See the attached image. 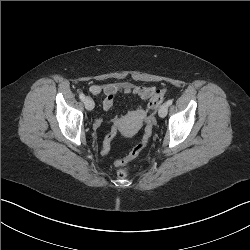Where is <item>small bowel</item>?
<instances>
[{
  "instance_id": "small-bowel-1",
  "label": "small bowel",
  "mask_w": 250,
  "mask_h": 250,
  "mask_svg": "<svg viewBox=\"0 0 250 250\" xmlns=\"http://www.w3.org/2000/svg\"><path fill=\"white\" fill-rule=\"evenodd\" d=\"M89 91L94 95L103 96V108L105 110L112 108L115 96L119 93L133 94L138 96L140 99L147 101L146 107H138L128 112L124 117L114 116L112 118L113 125L116 124L118 126L123 119H131L136 122L142 121L152 109L157 89L152 86H141L127 81H121L103 85L92 84L89 86ZM102 123L103 120L101 118H96V126L99 127Z\"/></svg>"
}]
</instances>
